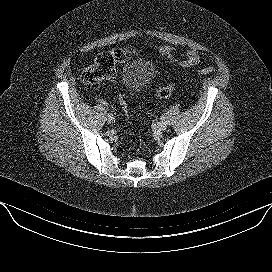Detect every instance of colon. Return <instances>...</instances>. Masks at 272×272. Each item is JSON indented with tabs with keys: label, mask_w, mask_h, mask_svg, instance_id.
Masks as SVG:
<instances>
[{
	"label": "colon",
	"mask_w": 272,
	"mask_h": 272,
	"mask_svg": "<svg viewBox=\"0 0 272 272\" xmlns=\"http://www.w3.org/2000/svg\"><path fill=\"white\" fill-rule=\"evenodd\" d=\"M131 53L130 49H117L100 53L94 62L81 71L80 79L88 85H97L102 80L112 77L116 72L117 65ZM215 71L213 67H204L198 70L199 74H211ZM176 88L175 83H170L155 91V95L160 98L170 96ZM120 104L127 112L126 102L122 97L119 98Z\"/></svg>",
	"instance_id": "5ec220e1"
}]
</instances>
